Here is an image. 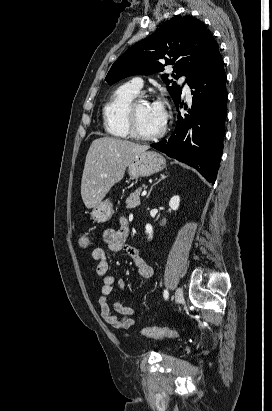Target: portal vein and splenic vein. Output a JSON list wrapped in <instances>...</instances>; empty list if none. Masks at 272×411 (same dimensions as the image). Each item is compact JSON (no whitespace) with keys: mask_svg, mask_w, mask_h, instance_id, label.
I'll use <instances>...</instances> for the list:
<instances>
[{"mask_svg":"<svg viewBox=\"0 0 272 411\" xmlns=\"http://www.w3.org/2000/svg\"><path fill=\"white\" fill-rule=\"evenodd\" d=\"M146 194H147V192H146V190H144L141 195L145 196Z\"/></svg>","mask_w":272,"mask_h":411,"instance_id":"portal-vein-and-splenic-vein-1","label":"portal vein and splenic vein"}]
</instances>
